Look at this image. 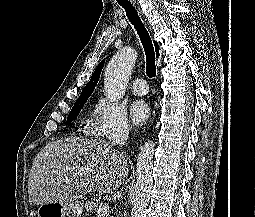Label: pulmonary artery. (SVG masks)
<instances>
[{
	"mask_svg": "<svg viewBox=\"0 0 255 217\" xmlns=\"http://www.w3.org/2000/svg\"><path fill=\"white\" fill-rule=\"evenodd\" d=\"M131 91L133 94L137 96L146 95L148 92V86L146 85V81L144 78H137L134 80Z\"/></svg>",
	"mask_w": 255,
	"mask_h": 217,
	"instance_id": "e3ab8cb5",
	"label": "pulmonary artery"
}]
</instances>
